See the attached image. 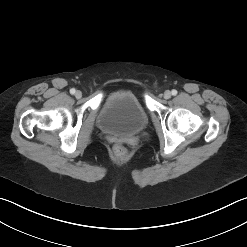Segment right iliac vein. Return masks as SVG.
I'll return each instance as SVG.
<instances>
[{"label": "right iliac vein", "mask_w": 247, "mask_h": 247, "mask_svg": "<svg viewBox=\"0 0 247 247\" xmlns=\"http://www.w3.org/2000/svg\"><path fill=\"white\" fill-rule=\"evenodd\" d=\"M75 97H76L77 99L81 98V97H82V92H81V91H76Z\"/></svg>", "instance_id": "63e3f726"}]
</instances>
